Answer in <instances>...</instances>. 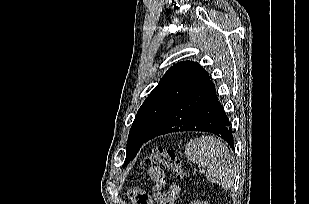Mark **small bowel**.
<instances>
[{
    "label": "small bowel",
    "mask_w": 309,
    "mask_h": 204,
    "mask_svg": "<svg viewBox=\"0 0 309 204\" xmlns=\"http://www.w3.org/2000/svg\"><path fill=\"white\" fill-rule=\"evenodd\" d=\"M147 174L153 182L152 195H148L142 189L133 188L129 192V198L137 203V198L141 195L148 199V202L143 204H175L180 192L179 186L174 184L167 191H163L166 185V173L159 167H150Z\"/></svg>",
    "instance_id": "small-bowel-1"
}]
</instances>
